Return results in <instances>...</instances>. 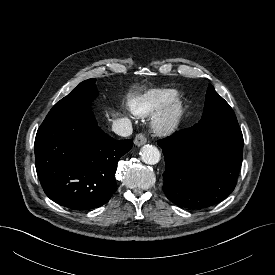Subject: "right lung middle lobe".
I'll list each match as a JSON object with an SVG mask.
<instances>
[{"mask_svg": "<svg viewBox=\"0 0 275 275\" xmlns=\"http://www.w3.org/2000/svg\"><path fill=\"white\" fill-rule=\"evenodd\" d=\"M97 96L95 79L81 82L70 94L57 102L46 116L44 122L60 119L64 116L86 110Z\"/></svg>", "mask_w": 275, "mask_h": 275, "instance_id": "right-lung-middle-lobe-1", "label": "right lung middle lobe"}]
</instances>
